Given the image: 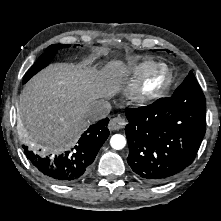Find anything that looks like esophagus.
I'll return each instance as SVG.
<instances>
[{"instance_id": "obj_1", "label": "esophagus", "mask_w": 221, "mask_h": 221, "mask_svg": "<svg viewBox=\"0 0 221 221\" xmlns=\"http://www.w3.org/2000/svg\"><path fill=\"white\" fill-rule=\"evenodd\" d=\"M127 124L126 120L121 116H116L109 122L110 130H119L122 129Z\"/></svg>"}]
</instances>
